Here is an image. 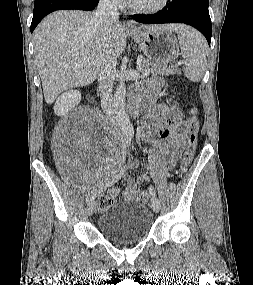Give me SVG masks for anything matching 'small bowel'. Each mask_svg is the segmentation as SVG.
Returning a JSON list of instances; mask_svg holds the SVG:
<instances>
[{
    "label": "small bowel",
    "instance_id": "small-bowel-1",
    "mask_svg": "<svg viewBox=\"0 0 253 285\" xmlns=\"http://www.w3.org/2000/svg\"><path fill=\"white\" fill-rule=\"evenodd\" d=\"M164 85L163 79L154 78L144 86L146 99L143 103L141 135L144 142L150 144L155 153L165 159L167 167L170 169L177 163L182 153L186 141L187 122L183 120L181 112L176 109L175 105L159 102L163 95ZM155 135L160 140H157ZM59 150L64 155L67 151L66 145L61 143ZM134 167L137 168L138 165L134 164ZM153 169L154 166L152 164L146 166L147 171H153ZM147 171L141 172L136 179H131L125 172L123 175L126 183V188L123 192L125 200H140L141 191L139 184L149 181ZM119 193L120 189L118 187L109 188L107 191V195L113 199Z\"/></svg>",
    "mask_w": 253,
    "mask_h": 285
}]
</instances>
